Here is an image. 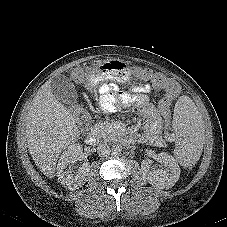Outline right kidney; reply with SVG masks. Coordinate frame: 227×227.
I'll return each instance as SVG.
<instances>
[{"mask_svg": "<svg viewBox=\"0 0 227 227\" xmlns=\"http://www.w3.org/2000/svg\"><path fill=\"white\" fill-rule=\"evenodd\" d=\"M83 148L79 144H71L62 153L57 164V176L61 184L69 190H76L85 184L90 172V165L84 162L79 169L74 164L80 160Z\"/></svg>", "mask_w": 227, "mask_h": 227, "instance_id": "obj_1", "label": "right kidney"}]
</instances>
